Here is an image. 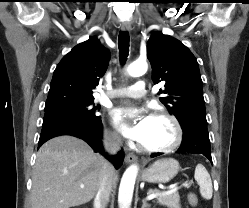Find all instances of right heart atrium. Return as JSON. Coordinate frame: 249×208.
<instances>
[{"mask_svg":"<svg viewBox=\"0 0 249 208\" xmlns=\"http://www.w3.org/2000/svg\"><path fill=\"white\" fill-rule=\"evenodd\" d=\"M105 138L111 144H117L120 141L119 135L113 130H107L105 132Z\"/></svg>","mask_w":249,"mask_h":208,"instance_id":"obj_1","label":"right heart atrium"}]
</instances>
